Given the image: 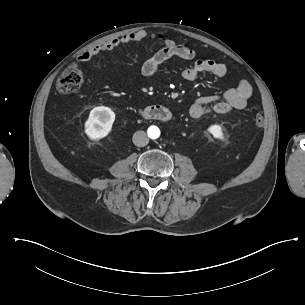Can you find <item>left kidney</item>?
Returning <instances> with one entry per match:
<instances>
[{"mask_svg":"<svg viewBox=\"0 0 305 305\" xmlns=\"http://www.w3.org/2000/svg\"><path fill=\"white\" fill-rule=\"evenodd\" d=\"M209 133L213 135L214 138L223 139L222 128L219 125H212L208 128Z\"/></svg>","mask_w":305,"mask_h":305,"instance_id":"1","label":"left kidney"}]
</instances>
